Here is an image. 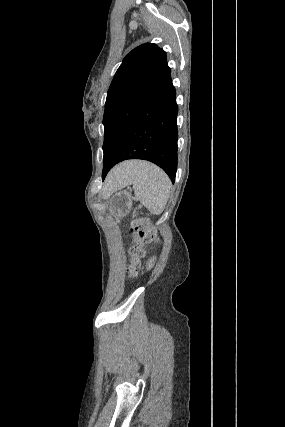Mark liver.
I'll return each mask as SVG.
<instances>
[{"mask_svg": "<svg viewBox=\"0 0 285 427\" xmlns=\"http://www.w3.org/2000/svg\"><path fill=\"white\" fill-rule=\"evenodd\" d=\"M136 163L137 161H129L115 167L107 178L105 183V191L107 193H111L119 189L122 182L125 180V170L128 167L135 165Z\"/></svg>", "mask_w": 285, "mask_h": 427, "instance_id": "liver-1", "label": "liver"}]
</instances>
